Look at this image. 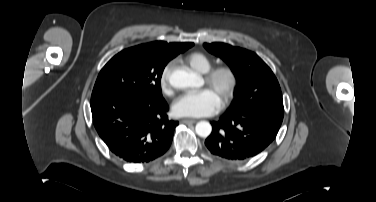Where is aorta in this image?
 <instances>
[{
    "label": "aorta",
    "mask_w": 376,
    "mask_h": 202,
    "mask_svg": "<svg viewBox=\"0 0 376 202\" xmlns=\"http://www.w3.org/2000/svg\"><path fill=\"white\" fill-rule=\"evenodd\" d=\"M169 82L176 89L193 88L199 85V77L194 72L176 69L172 72ZM196 133L200 137H208L212 131V126L207 121H200L195 127Z\"/></svg>",
    "instance_id": "1"
}]
</instances>
